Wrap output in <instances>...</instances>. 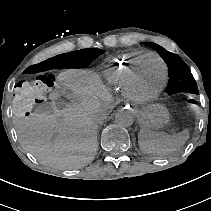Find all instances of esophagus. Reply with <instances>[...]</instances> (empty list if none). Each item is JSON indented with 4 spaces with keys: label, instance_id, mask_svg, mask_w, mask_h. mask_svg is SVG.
Instances as JSON below:
<instances>
[{
    "label": "esophagus",
    "instance_id": "esophagus-1",
    "mask_svg": "<svg viewBox=\"0 0 211 211\" xmlns=\"http://www.w3.org/2000/svg\"><path fill=\"white\" fill-rule=\"evenodd\" d=\"M118 110L124 111V112H127V113H132L133 111L138 110V105L135 104V103L125 102L124 104L118 105Z\"/></svg>",
    "mask_w": 211,
    "mask_h": 211
}]
</instances>
